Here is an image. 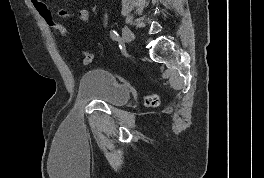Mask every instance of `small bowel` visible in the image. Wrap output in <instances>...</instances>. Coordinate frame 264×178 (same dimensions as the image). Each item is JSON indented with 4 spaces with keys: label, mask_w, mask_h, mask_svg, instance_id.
Wrapping results in <instances>:
<instances>
[{
    "label": "small bowel",
    "mask_w": 264,
    "mask_h": 178,
    "mask_svg": "<svg viewBox=\"0 0 264 178\" xmlns=\"http://www.w3.org/2000/svg\"><path fill=\"white\" fill-rule=\"evenodd\" d=\"M56 13L63 18L76 16L77 20L81 22H86L89 19V10L86 5H83L80 9H74V8L57 9Z\"/></svg>",
    "instance_id": "1"
}]
</instances>
